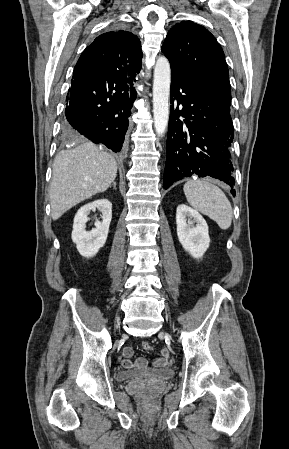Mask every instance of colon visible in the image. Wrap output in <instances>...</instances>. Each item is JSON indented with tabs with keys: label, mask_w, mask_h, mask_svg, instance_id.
Instances as JSON below:
<instances>
[{
	"label": "colon",
	"mask_w": 289,
	"mask_h": 449,
	"mask_svg": "<svg viewBox=\"0 0 289 449\" xmlns=\"http://www.w3.org/2000/svg\"><path fill=\"white\" fill-rule=\"evenodd\" d=\"M142 347H143V349L144 350H146V351H150V350H152V345L149 343V342H143L142 343Z\"/></svg>",
	"instance_id": "1"
}]
</instances>
